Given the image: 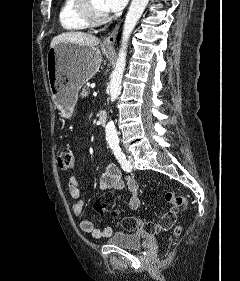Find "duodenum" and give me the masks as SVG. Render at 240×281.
<instances>
[{"label":"duodenum","mask_w":240,"mask_h":281,"mask_svg":"<svg viewBox=\"0 0 240 281\" xmlns=\"http://www.w3.org/2000/svg\"><path fill=\"white\" fill-rule=\"evenodd\" d=\"M98 119L101 125H105L107 121V113L104 110L98 112Z\"/></svg>","instance_id":"410a0bca"}]
</instances>
